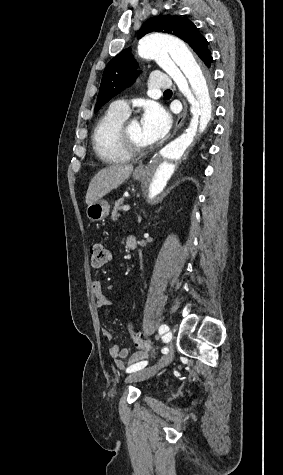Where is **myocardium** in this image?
<instances>
[{"label": "myocardium", "mask_w": 283, "mask_h": 475, "mask_svg": "<svg viewBox=\"0 0 283 475\" xmlns=\"http://www.w3.org/2000/svg\"><path fill=\"white\" fill-rule=\"evenodd\" d=\"M131 120L128 118L118 128L117 135L115 137L116 151H110L108 145H103L99 151V156L109 162H133L136 159L145 155L150 149V144L147 146H138L132 143L129 136V123ZM126 145L128 149H124L122 146Z\"/></svg>", "instance_id": "f54148a6"}]
</instances>
